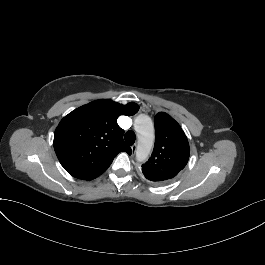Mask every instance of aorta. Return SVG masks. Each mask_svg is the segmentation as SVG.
Returning <instances> with one entry per match:
<instances>
[{
	"mask_svg": "<svg viewBox=\"0 0 265 265\" xmlns=\"http://www.w3.org/2000/svg\"><path fill=\"white\" fill-rule=\"evenodd\" d=\"M140 123V138L138 141L136 157L137 160L142 162L149 156L153 143H154V132L153 124L149 117L141 116L139 118Z\"/></svg>",
	"mask_w": 265,
	"mask_h": 265,
	"instance_id": "762f6f07",
	"label": "aorta"
}]
</instances>
